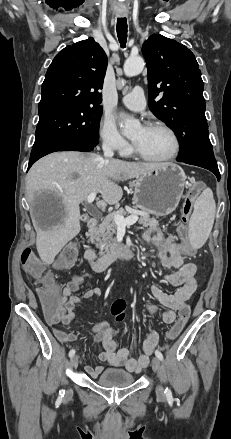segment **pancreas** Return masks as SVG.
<instances>
[{
  "mask_svg": "<svg viewBox=\"0 0 231 439\" xmlns=\"http://www.w3.org/2000/svg\"><path fill=\"white\" fill-rule=\"evenodd\" d=\"M139 215V224L143 227H157L159 222L155 218H150L149 214L146 212H140L135 207L129 210L120 208L114 213L106 216L98 228L90 235V241L95 243V245L100 249L99 255L103 256L109 252L110 249L117 247L116 238L114 234L117 230V225L114 221L115 215L126 216V215Z\"/></svg>",
  "mask_w": 231,
  "mask_h": 439,
  "instance_id": "cf45deb5",
  "label": "pancreas"
}]
</instances>
